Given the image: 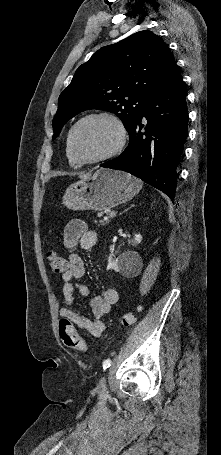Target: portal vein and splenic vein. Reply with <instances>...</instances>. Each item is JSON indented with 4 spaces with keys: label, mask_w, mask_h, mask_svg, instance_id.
Masks as SVG:
<instances>
[{
    "label": "portal vein and splenic vein",
    "mask_w": 221,
    "mask_h": 455,
    "mask_svg": "<svg viewBox=\"0 0 221 455\" xmlns=\"http://www.w3.org/2000/svg\"><path fill=\"white\" fill-rule=\"evenodd\" d=\"M103 219H104V221H108V220H109V218H108V217H104Z\"/></svg>",
    "instance_id": "obj_1"
}]
</instances>
